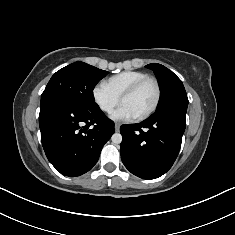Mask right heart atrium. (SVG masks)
Masks as SVG:
<instances>
[{"instance_id":"d8ad5b80","label":"right heart atrium","mask_w":235,"mask_h":235,"mask_svg":"<svg viewBox=\"0 0 235 235\" xmlns=\"http://www.w3.org/2000/svg\"><path fill=\"white\" fill-rule=\"evenodd\" d=\"M92 96L96 105L104 113H111L120 102V97L112 92L105 82H99L93 87Z\"/></svg>"}]
</instances>
